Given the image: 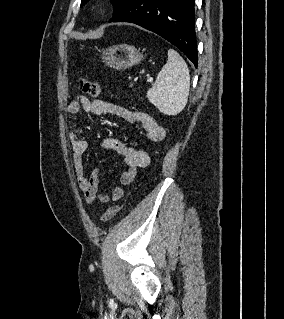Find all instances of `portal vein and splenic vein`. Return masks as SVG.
I'll use <instances>...</instances> for the list:
<instances>
[{
  "label": "portal vein and splenic vein",
  "instance_id": "18ae733b",
  "mask_svg": "<svg viewBox=\"0 0 284 319\" xmlns=\"http://www.w3.org/2000/svg\"><path fill=\"white\" fill-rule=\"evenodd\" d=\"M152 81H153V79H152V78H149V79H148V82H152Z\"/></svg>",
  "mask_w": 284,
  "mask_h": 319
}]
</instances>
